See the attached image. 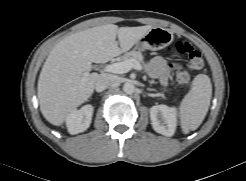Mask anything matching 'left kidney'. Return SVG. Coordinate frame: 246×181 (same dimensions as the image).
Returning <instances> with one entry per match:
<instances>
[{"instance_id":"left-kidney-1","label":"left kidney","mask_w":246,"mask_h":181,"mask_svg":"<svg viewBox=\"0 0 246 181\" xmlns=\"http://www.w3.org/2000/svg\"><path fill=\"white\" fill-rule=\"evenodd\" d=\"M150 119L153 129L164 136L171 137L177 126V111L174 107L156 105L150 109Z\"/></svg>"}]
</instances>
